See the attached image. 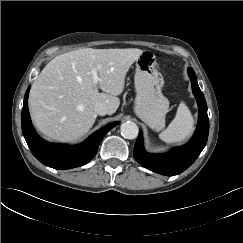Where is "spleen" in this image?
<instances>
[{"label":"spleen","mask_w":243,"mask_h":243,"mask_svg":"<svg viewBox=\"0 0 243 243\" xmlns=\"http://www.w3.org/2000/svg\"><path fill=\"white\" fill-rule=\"evenodd\" d=\"M194 129V119L184 102L180 103L175 118L168 127L159 134L162 141L173 144L184 141Z\"/></svg>","instance_id":"spleen-1"}]
</instances>
